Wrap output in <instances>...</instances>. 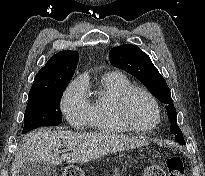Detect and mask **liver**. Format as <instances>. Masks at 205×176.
I'll return each instance as SVG.
<instances>
[{"instance_id":"liver-1","label":"liver","mask_w":205,"mask_h":176,"mask_svg":"<svg viewBox=\"0 0 205 176\" xmlns=\"http://www.w3.org/2000/svg\"><path fill=\"white\" fill-rule=\"evenodd\" d=\"M145 141L105 133H78L71 131H52L40 129L28 135L19 148L12 163V176H19L23 165L31 161H44L60 165L67 163H86L101 158L108 153L140 146ZM66 148L69 153L61 157L58 150Z\"/></svg>"}]
</instances>
